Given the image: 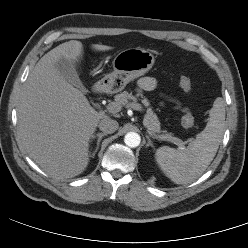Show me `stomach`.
<instances>
[{
  "label": "stomach",
  "mask_w": 248,
  "mask_h": 248,
  "mask_svg": "<svg viewBox=\"0 0 248 248\" xmlns=\"http://www.w3.org/2000/svg\"><path fill=\"white\" fill-rule=\"evenodd\" d=\"M154 55L141 48H130L119 52L113 62V72L101 79L100 85L110 93H117L134 79L144 75L154 65Z\"/></svg>",
  "instance_id": "1"
}]
</instances>
